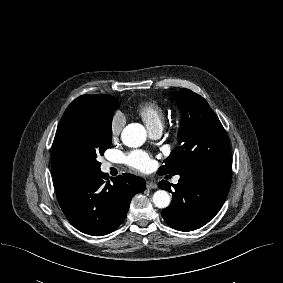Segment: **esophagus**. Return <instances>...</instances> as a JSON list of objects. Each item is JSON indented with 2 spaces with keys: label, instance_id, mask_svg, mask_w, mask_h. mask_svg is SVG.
Returning <instances> with one entry per match:
<instances>
[{
  "label": "esophagus",
  "instance_id": "1",
  "mask_svg": "<svg viewBox=\"0 0 283 283\" xmlns=\"http://www.w3.org/2000/svg\"><path fill=\"white\" fill-rule=\"evenodd\" d=\"M146 188L147 189H156L157 188V184L151 180H148L146 182Z\"/></svg>",
  "mask_w": 283,
  "mask_h": 283
}]
</instances>
